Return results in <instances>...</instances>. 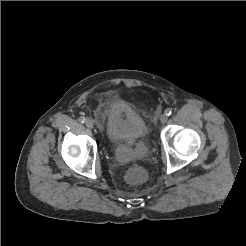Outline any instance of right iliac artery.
Masks as SVG:
<instances>
[{
    "mask_svg": "<svg viewBox=\"0 0 246 246\" xmlns=\"http://www.w3.org/2000/svg\"><path fill=\"white\" fill-rule=\"evenodd\" d=\"M79 121H80L81 123H85L86 119H85V117L81 116V117L79 118Z\"/></svg>",
    "mask_w": 246,
    "mask_h": 246,
    "instance_id": "82829eb1",
    "label": "right iliac artery"
}]
</instances>
